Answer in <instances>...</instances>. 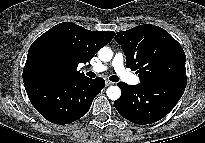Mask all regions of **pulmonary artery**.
Listing matches in <instances>:
<instances>
[{
  "label": "pulmonary artery",
  "mask_w": 205,
  "mask_h": 143,
  "mask_svg": "<svg viewBox=\"0 0 205 143\" xmlns=\"http://www.w3.org/2000/svg\"><path fill=\"white\" fill-rule=\"evenodd\" d=\"M111 66L114 68L119 78L124 82L132 85H136L139 83V78L136 75L127 71L126 68L124 67V56L122 53L120 52L116 53V55L114 56L111 62ZM107 69L108 66L105 64H97L90 67V70L97 73L103 72Z\"/></svg>",
  "instance_id": "e3ab8cb5"
}]
</instances>
